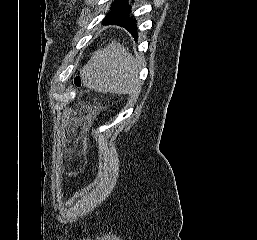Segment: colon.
<instances>
[{
    "mask_svg": "<svg viewBox=\"0 0 257 240\" xmlns=\"http://www.w3.org/2000/svg\"><path fill=\"white\" fill-rule=\"evenodd\" d=\"M74 84L77 86V87H80L82 85V79L80 77H75L74 79Z\"/></svg>",
    "mask_w": 257,
    "mask_h": 240,
    "instance_id": "1",
    "label": "colon"
}]
</instances>
